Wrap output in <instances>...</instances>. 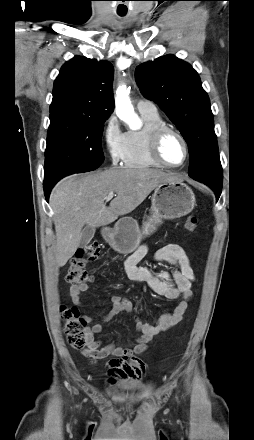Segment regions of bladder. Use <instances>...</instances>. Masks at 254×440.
<instances>
[{"mask_svg":"<svg viewBox=\"0 0 254 440\" xmlns=\"http://www.w3.org/2000/svg\"><path fill=\"white\" fill-rule=\"evenodd\" d=\"M142 387H143V384H140V383L134 384L133 386H131L132 389H140Z\"/></svg>","mask_w":254,"mask_h":440,"instance_id":"31cf9c89","label":"bladder"}]
</instances>
